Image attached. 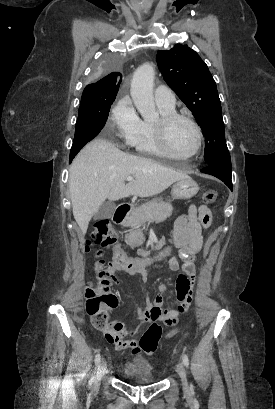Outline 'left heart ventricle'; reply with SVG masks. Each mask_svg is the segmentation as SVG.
I'll return each mask as SVG.
<instances>
[{
  "label": "left heart ventricle",
  "instance_id": "1",
  "mask_svg": "<svg viewBox=\"0 0 275 409\" xmlns=\"http://www.w3.org/2000/svg\"><path fill=\"white\" fill-rule=\"evenodd\" d=\"M170 144L176 154L189 155L196 144L195 133L191 125L185 121L177 122L171 129Z\"/></svg>",
  "mask_w": 275,
  "mask_h": 409
}]
</instances>
